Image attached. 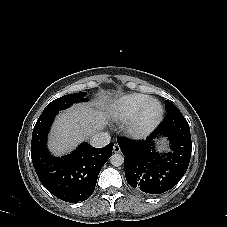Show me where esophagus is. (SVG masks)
<instances>
[{
  "label": "esophagus",
  "instance_id": "esophagus-1",
  "mask_svg": "<svg viewBox=\"0 0 227 227\" xmlns=\"http://www.w3.org/2000/svg\"><path fill=\"white\" fill-rule=\"evenodd\" d=\"M113 152L114 153H120L121 152L120 146L117 143L114 144Z\"/></svg>",
  "mask_w": 227,
  "mask_h": 227
}]
</instances>
